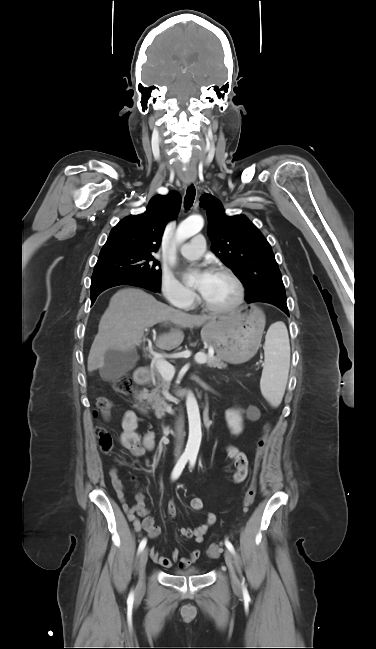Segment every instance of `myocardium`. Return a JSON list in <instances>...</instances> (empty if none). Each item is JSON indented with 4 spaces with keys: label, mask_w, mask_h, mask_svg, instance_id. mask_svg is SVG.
I'll return each instance as SVG.
<instances>
[{
    "label": "myocardium",
    "mask_w": 376,
    "mask_h": 649,
    "mask_svg": "<svg viewBox=\"0 0 376 649\" xmlns=\"http://www.w3.org/2000/svg\"><path fill=\"white\" fill-rule=\"evenodd\" d=\"M214 272L215 273L225 274L233 281V283H234V285L236 287V290H237L236 297L231 303H229V304H227L225 306H213V305H210L204 299V297L202 296L201 293H199V296H198L199 305L203 309H205L206 311L214 313V314L230 313V312L236 310L243 303L244 298H245L244 285H243L241 279L237 276V274L228 267H225V266L215 267Z\"/></svg>",
    "instance_id": "obj_1"
}]
</instances>
